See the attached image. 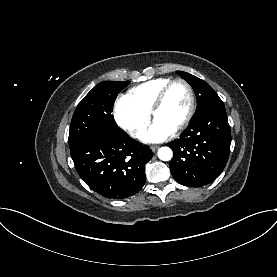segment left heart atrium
Wrapping results in <instances>:
<instances>
[{
    "label": "left heart atrium",
    "mask_w": 277,
    "mask_h": 277,
    "mask_svg": "<svg viewBox=\"0 0 277 277\" xmlns=\"http://www.w3.org/2000/svg\"><path fill=\"white\" fill-rule=\"evenodd\" d=\"M174 131L175 129L165 122L155 120L147 130L142 132L140 138L148 143L161 142L170 137Z\"/></svg>",
    "instance_id": "left-heart-atrium-1"
}]
</instances>
